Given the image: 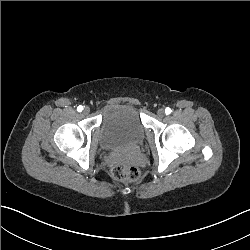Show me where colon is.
I'll return each mask as SVG.
<instances>
[{
    "label": "colon",
    "instance_id": "5ec220e1",
    "mask_svg": "<svg viewBox=\"0 0 250 250\" xmlns=\"http://www.w3.org/2000/svg\"><path fill=\"white\" fill-rule=\"evenodd\" d=\"M109 174L116 183L126 184L137 180L140 170L135 166L117 162L110 167Z\"/></svg>",
    "mask_w": 250,
    "mask_h": 250
}]
</instances>
